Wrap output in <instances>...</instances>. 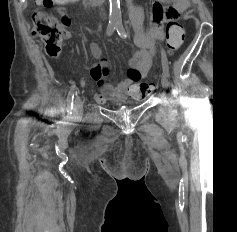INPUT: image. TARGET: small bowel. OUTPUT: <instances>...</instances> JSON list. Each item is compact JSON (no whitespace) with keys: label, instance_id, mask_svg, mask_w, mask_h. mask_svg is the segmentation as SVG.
Instances as JSON below:
<instances>
[{"label":"small bowel","instance_id":"obj_1","mask_svg":"<svg viewBox=\"0 0 237 232\" xmlns=\"http://www.w3.org/2000/svg\"><path fill=\"white\" fill-rule=\"evenodd\" d=\"M65 1L64 4H72L79 0ZM189 3L190 0H152L151 26L148 31L144 30L139 10H130L138 50L128 60L126 79L116 85L111 84L107 79L110 69L107 60L102 59L91 69V76L98 86V91L94 94L98 103L121 102L127 98L141 101L146 98L150 88L141 80L147 76L152 67L157 54L156 43L162 42L165 38L164 25L176 21L187 9ZM58 11L62 15L66 13L63 7H60ZM66 35H68L67 31ZM90 51L95 58H101L102 50L97 43L91 44Z\"/></svg>","mask_w":237,"mask_h":232}]
</instances>
